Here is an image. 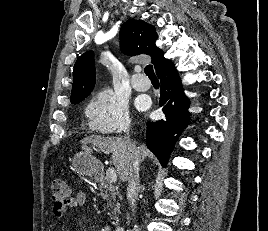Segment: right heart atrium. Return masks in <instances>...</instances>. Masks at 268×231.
<instances>
[{
	"label": "right heart atrium",
	"instance_id": "1",
	"mask_svg": "<svg viewBox=\"0 0 268 231\" xmlns=\"http://www.w3.org/2000/svg\"><path fill=\"white\" fill-rule=\"evenodd\" d=\"M86 115L90 128L104 135L125 132L130 123L127 102L109 88L92 95L86 106Z\"/></svg>",
	"mask_w": 268,
	"mask_h": 231
}]
</instances>
